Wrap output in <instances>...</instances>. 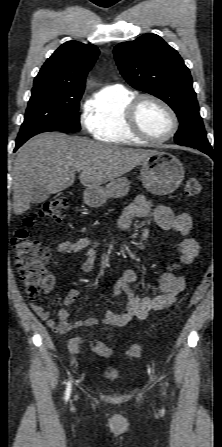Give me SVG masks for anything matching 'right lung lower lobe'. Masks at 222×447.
I'll return each instance as SVG.
<instances>
[{
    "mask_svg": "<svg viewBox=\"0 0 222 447\" xmlns=\"http://www.w3.org/2000/svg\"><path fill=\"white\" fill-rule=\"evenodd\" d=\"M18 148H19V146H16L15 150L18 149Z\"/></svg>",
    "mask_w": 222,
    "mask_h": 447,
    "instance_id": "1",
    "label": "right lung lower lobe"
}]
</instances>
